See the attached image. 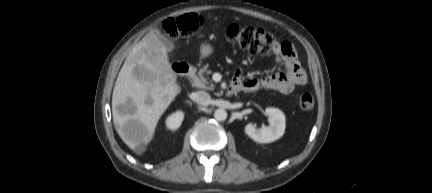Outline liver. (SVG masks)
Segmentation results:
<instances>
[{
	"label": "liver",
	"instance_id": "6515ba94",
	"mask_svg": "<svg viewBox=\"0 0 432 193\" xmlns=\"http://www.w3.org/2000/svg\"><path fill=\"white\" fill-rule=\"evenodd\" d=\"M167 50L151 31L127 56L115 82L112 116L115 129L136 153H141L155 134L157 123L180 92ZM133 106L120 113L118 107Z\"/></svg>",
	"mask_w": 432,
	"mask_h": 193
}]
</instances>
